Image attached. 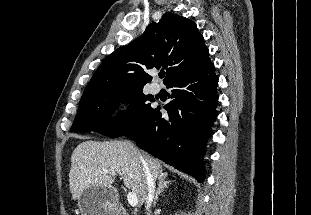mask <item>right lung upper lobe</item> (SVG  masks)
Returning <instances> with one entry per match:
<instances>
[{"mask_svg": "<svg viewBox=\"0 0 311 215\" xmlns=\"http://www.w3.org/2000/svg\"><path fill=\"white\" fill-rule=\"evenodd\" d=\"M209 61L208 49L196 24L168 12L158 23L149 24L139 38L104 59L80 102L106 94L143 90L152 78L147 71L153 68L166 69L164 84L167 85Z\"/></svg>", "mask_w": 311, "mask_h": 215, "instance_id": "1", "label": "right lung upper lobe"}]
</instances>
